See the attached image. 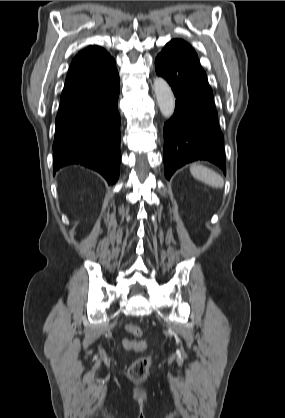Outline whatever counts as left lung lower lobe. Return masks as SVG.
Masks as SVG:
<instances>
[{
	"label": "left lung lower lobe",
	"instance_id": "1",
	"mask_svg": "<svg viewBox=\"0 0 285 418\" xmlns=\"http://www.w3.org/2000/svg\"><path fill=\"white\" fill-rule=\"evenodd\" d=\"M155 68L176 97L175 112L164 125L166 178L196 160L210 161L225 173L223 134L213 92L196 52L181 39L171 40L156 57Z\"/></svg>",
	"mask_w": 285,
	"mask_h": 418
}]
</instances>
